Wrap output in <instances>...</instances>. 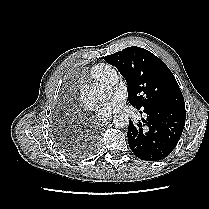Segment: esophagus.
Wrapping results in <instances>:
<instances>
[{"mask_svg":"<svg viewBox=\"0 0 209 209\" xmlns=\"http://www.w3.org/2000/svg\"><path fill=\"white\" fill-rule=\"evenodd\" d=\"M110 120H111V119H109L108 121H103V122H101V125H102V126H106V125L109 123Z\"/></svg>","mask_w":209,"mask_h":209,"instance_id":"1","label":"esophagus"}]
</instances>
